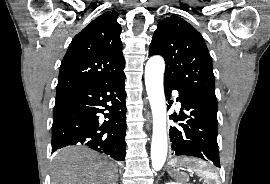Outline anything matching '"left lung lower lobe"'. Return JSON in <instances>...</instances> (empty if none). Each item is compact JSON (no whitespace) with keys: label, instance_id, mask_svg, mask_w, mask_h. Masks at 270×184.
<instances>
[{"label":"left lung lower lobe","instance_id":"0a47b994","mask_svg":"<svg viewBox=\"0 0 270 184\" xmlns=\"http://www.w3.org/2000/svg\"><path fill=\"white\" fill-rule=\"evenodd\" d=\"M164 89L166 100L171 97V91L175 89L179 91L177 100L181 102L178 117L170 115L175 122H183L179 124L180 129L170 128L172 154L200 158L220 167L217 108L168 77H164Z\"/></svg>","mask_w":270,"mask_h":184}]
</instances>
